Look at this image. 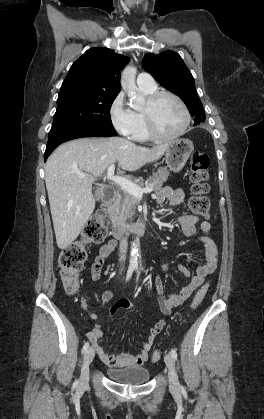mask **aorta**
<instances>
[{
    "label": "aorta",
    "instance_id": "aorta-1",
    "mask_svg": "<svg viewBox=\"0 0 264 419\" xmlns=\"http://www.w3.org/2000/svg\"><path fill=\"white\" fill-rule=\"evenodd\" d=\"M136 68L133 66H126L121 75V86L124 91L127 92L128 97L131 98V103L134 109L141 107L144 104V98L137 94V87L135 83ZM139 244L138 239L134 240L131 244L130 254V267H138V256H139Z\"/></svg>",
    "mask_w": 264,
    "mask_h": 419
}]
</instances>
